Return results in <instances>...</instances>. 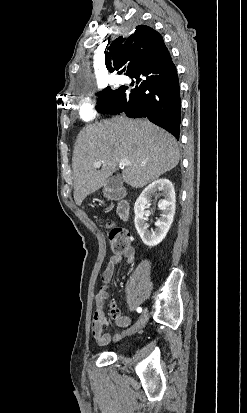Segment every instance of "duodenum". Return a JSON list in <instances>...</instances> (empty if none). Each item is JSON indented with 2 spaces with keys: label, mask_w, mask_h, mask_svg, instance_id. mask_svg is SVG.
I'll return each instance as SVG.
<instances>
[{
  "label": "duodenum",
  "mask_w": 247,
  "mask_h": 413,
  "mask_svg": "<svg viewBox=\"0 0 247 413\" xmlns=\"http://www.w3.org/2000/svg\"><path fill=\"white\" fill-rule=\"evenodd\" d=\"M107 197L110 200H121L119 209H118V214L121 219L127 220L128 218V203L123 200V192L121 190H108L107 191Z\"/></svg>",
  "instance_id": "obj_1"
}]
</instances>
